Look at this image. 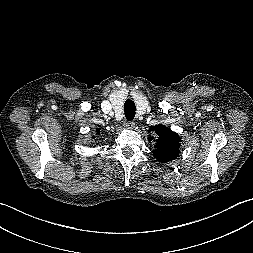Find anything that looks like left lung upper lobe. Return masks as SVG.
Here are the masks:
<instances>
[{"mask_svg":"<svg viewBox=\"0 0 253 253\" xmlns=\"http://www.w3.org/2000/svg\"><path fill=\"white\" fill-rule=\"evenodd\" d=\"M149 130L154 133V136L148 138L150 142H155L152 153L159 162L166 163L179 156L178 134L161 124L151 126Z\"/></svg>","mask_w":253,"mask_h":253,"instance_id":"1","label":"left lung upper lobe"}]
</instances>
